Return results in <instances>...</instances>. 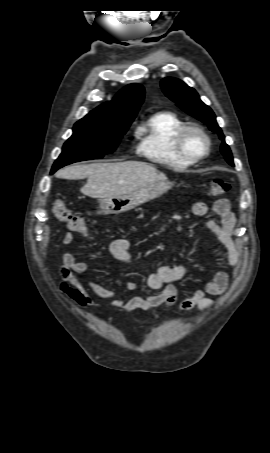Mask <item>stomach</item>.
Instances as JSON below:
<instances>
[{
	"label": "stomach",
	"instance_id": "1",
	"mask_svg": "<svg viewBox=\"0 0 270 453\" xmlns=\"http://www.w3.org/2000/svg\"><path fill=\"white\" fill-rule=\"evenodd\" d=\"M172 184L169 181H158L138 189L130 194L113 198H103L99 201V214L110 215L127 212L135 207L157 198L166 193Z\"/></svg>",
	"mask_w": 270,
	"mask_h": 453
}]
</instances>
